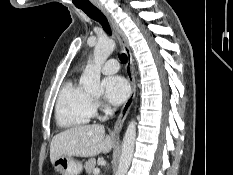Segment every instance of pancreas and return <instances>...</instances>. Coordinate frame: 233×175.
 Returning <instances> with one entry per match:
<instances>
[{
	"instance_id": "pancreas-1",
	"label": "pancreas",
	"mask_w": 233,
	"mask_h": 175,
	"mask_svg": "<svg viewBox=\"0 0 233 175\" xmlns=\"http://www.w3.org/2000/svg\"><path fill=\"white\" fill-rule=\"evenodd\" d=\"M96 166V160L95 158H90L88 161L85 162V170L87 172L88 175H92L93 171L95 169Z\"/></svg>"
}]
</instances>
